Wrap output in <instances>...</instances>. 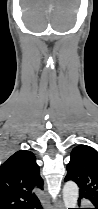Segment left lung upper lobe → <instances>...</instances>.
<instances>
[{"mask_svg":"<svg viewBox=\"0 0 98 209\" xmlns=\"http://www.w3.org/2000/svg\"><path fill=\"white\" fill-rule=\"evenodd\" d=\"M74 181L80 188V197L98 207V152L87 145H79L71 152L64 181Z\"/></svg>","mask_w":98,"mask_h":209,"instance_id":"1","label":"left lung upper lobe"}]
</instances>
